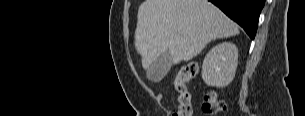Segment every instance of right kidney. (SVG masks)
Instances as JSON below:
<instances>
[{
	"label": "right kidney",
	"instance_id": "right-kidney-1",
	"mask_svg": "<svg viewBox=\"0 0 305 116\" xmlns=\"http://www.w3.org/2000/svg\"><path fill=\"white\" fill-rule=\"evenodd\" d=\"M238 49L231 42H223L213 47L206 55L202 65V78L209 86L229 85L236 72Z\"/></svg>",
	"mask_w": 305,
	"mask_h": 116
}]
</instances>
